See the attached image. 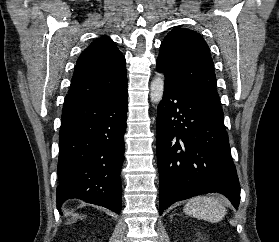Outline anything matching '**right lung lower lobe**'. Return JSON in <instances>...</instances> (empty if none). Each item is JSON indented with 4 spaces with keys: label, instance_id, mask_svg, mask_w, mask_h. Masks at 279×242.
Returning <instances> with one entry per match:
<instances>
[{
    "label": "right lung lower lobe",
    "instance_id": "98d812e1",
    "mask_svg": "<svg viewBox=\"0 0 279 242\" xmlns=\"http://www.w3.org/2000/svg\"><path fill=\"white\" fill-rule=\"evenodd\" d=\"M127 87L99 100L63 107L59 133L57 208L67 199L121 211Z\"/></svg>",
    "mask_w": 279,
    "mask_h": 242
}]
</instances>
